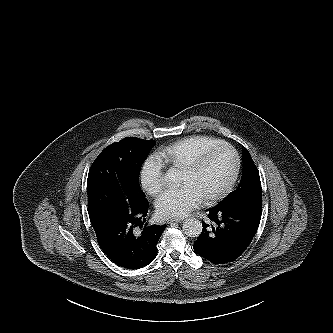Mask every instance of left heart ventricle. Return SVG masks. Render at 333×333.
I'll return each mask as SVG.
<instances>
[{
    "label": "left heart ventricle",
    "instance_id": "left-heart-ventricle-1",
    "mask_svg": "<svg viewBox=\"0 0 333 333\" xmlns=\"http://www.w3.org/2000/svg\"><path fill=\"white\" fill-rule=\"evenodd\" d=\"M235 168V156L229 148L212 153L195 173L180 172L179 183L191 185L205 199L221 190L231 178Z\"/></svg>",
    "mask_w": 333,
    "mask_h": 333
}]
</instances>
